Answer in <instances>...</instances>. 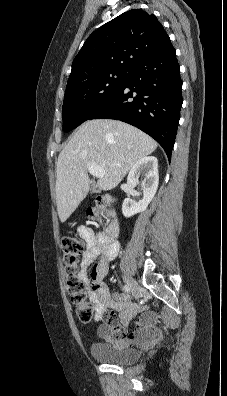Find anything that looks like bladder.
I'll return each instance as SVG.
<instances>
[{"label":"bladder","instance_id":"obj_1","mask_svg":"<svg viewBox=\"0 0 227 396\" xmlns=\"http://www.w3.org/2000/svg\"><path fill=\"white\" fill-rule=\"evenodd\" d=\"M89 351L91 356L100 362L120 366L134 363L140 357L138 350L123 343L108 344L94 342L90 345Z\"/></svg>","mask_w":227,"mask_h":396}]
</instances>
